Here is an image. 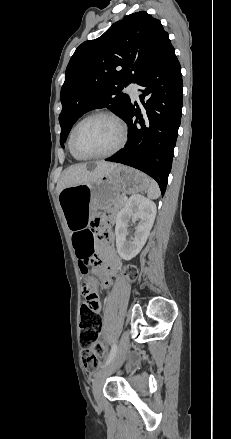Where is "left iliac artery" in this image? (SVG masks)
I'll use <instances>...</instances> for the list:
<instances>
[{
  "mask_svg": "<svg viewBox=\"0 0 231 439\" xmlns=\"http://www.w3.org/2000/svg\"><path fill=\"white\" fill-rule=\"evenodd\" d=\"M116 352H117V344H116V342H114V344H113V346L111 348L110 354H109V356H108V358H107V360L105 362V366L112 361V359L116 355Z\"/></svg>",
  "mask_w": 231,
  "mask_h": 439,
  "instance_id": "obj_1",
  "label": "left iliac artery"
}]
</instances>
